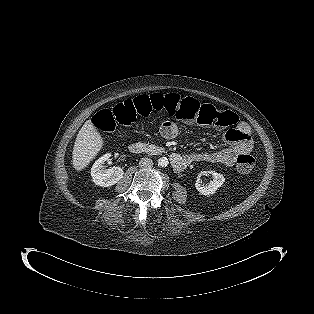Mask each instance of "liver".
Instances as JSON below:
<instances>
[{"mask_svg":"<svg viewBox=\"0 0 314 314\" xmlns=\"http://www.w3.org/2000/svg\"><path fill=\"white\" fill-rule=\"evenodd\" d=\"M104 145V141L91 120L80 129L72 152V164L81 171L95 158Z\"/></svg>","mask_w":314,"mask_h":314,"instance_id":"obj_1","label":"liver"}]
</instances>
